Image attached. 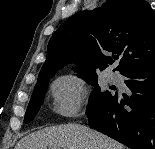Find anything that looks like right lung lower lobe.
Wrapping results in <instances>:
<instances>
[{"label": "right lung lower lobe", "instance_id": "1", "mask_svg": "<svg viewBox=\"0 0 155 149\" xmlns=\"http://www.w3.org/2000/svg\"><path fill=\"white\" fill-rule=\"evenodd\" d=\"M132 96L116 94L88 115L89 124L131 149H155V66L123 74Z\"/></svg>", "mask_w": 155, "mask_h": 149}]
</instances>
